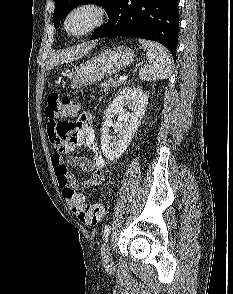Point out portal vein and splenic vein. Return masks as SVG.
<instances>
[{"label":"portal vein and splenic vein","mask_w":233,"mask_h":294,"mask_svg":"<svg viewBox=\"0 0 233 294\" xmlns=\"http://www.w3.org/2000/svg\"><path fill=\"white\" fill-rule=\"evenodd\" d=\"M127 79V76L126 75H121V76H119V80L120 81H124V80H126Z\"/></svg>","instance_id":"portal-vein-and-splenic-vein-1"}]
</instances>
